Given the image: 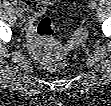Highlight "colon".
<instances>
[{"label":"colon","instance_id":"colon-1","mask_svg":"<svg viewBox=\"0 0 111 106\" xmlns=\"http://www.w3.org/2000/svg\"><path fill=\"white\" fill-rule=\"evenodd\" d=\"M54 30L55 25L51 18L43 17L42 19H40L36 28V32L38 36L44 40L42 41L43 45H52V42L49 41V39L54 33ZM51 57L52 58L49 59L45 65L48 71H56L65 67L69 63V59L64 57V49L61 47H54L51 53Z\"/></svg>","mask_w":111,"mask_h":106}]
</instances>
